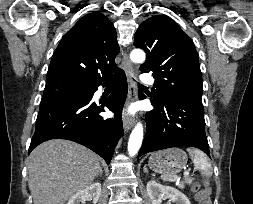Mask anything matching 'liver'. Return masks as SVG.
<instances>
[{"label": "liver", "mask_w": 253, "mask_h": 204, "mask_svg": "<svg viewBox=\"0 0 253 204\" xmlns=\"http://www.w3.org/2000/svg\"><path fill=\"white\" fill-rule=\"evenodd\" d=\"M99 157L68 140H49L29 156V190L34 204H64L92 184L100 171Z\"/></svg>", "instance_id": "1"}]
</instances>
